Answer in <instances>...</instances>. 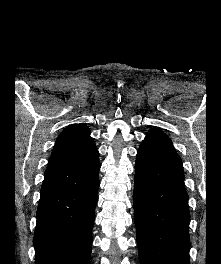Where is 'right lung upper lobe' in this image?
I'll return each instance as SVG.
<instances>
[{
	"label": "right lung upper lobe",
	"mask_w": 221,
	"mask_h": 264,
	"mask_svg": "<svg viewBox=\"0 0 221 264\" xmlns=\"http://www.w3.org/2000/svg\"><path fill=\"white\" fill-rule=\"evenodd\" d=\"M95 152L89 128L84 124L70 125L57 138L48 166L81 160Z\"/></svg>",
	"instance_id": "right-lung-upper-lobe-1"
}]
</instances>
